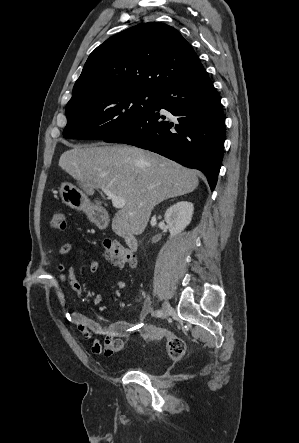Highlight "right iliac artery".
Listing matches in <instances>:
<instances>
[{
  "instance_id": "82829eb1",
  "label": "right iliac artery",
  "mask_w": 299,
  "mask_h": 443,
  "mask_svg": "<svg viewBox=\"0 0 299 443\" xmlns=\"http://www.w3.org/2000/svg\"><path fill=\"white\" fill-rule=\"evenodd\" d=\"M155 316H157V317H161V316H162V311H161V310H157V311L155 312Z\"/></svg>"
}]
</instances>
